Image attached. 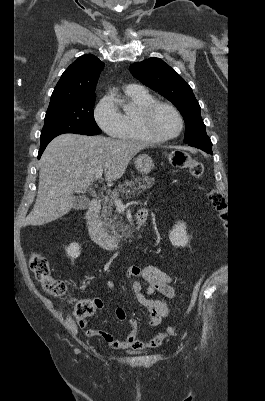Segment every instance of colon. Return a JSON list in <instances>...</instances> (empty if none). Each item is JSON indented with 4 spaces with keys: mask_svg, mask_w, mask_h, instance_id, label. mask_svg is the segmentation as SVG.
Instances as JSON below:
<instances>
[{
    "mask_svg": "<svg viewBox=\"0 0 265 401\" xmlns=\"http://www.w3.org/2000/svg\"><path fill=\"white\" fill-rule=\"evenodd\" d=\"M168 159L175 168L188 169L194 178H200L203 174V165L192 159L191 156L184 151H173L168 154ZM208 197L218 214L222 218H226L229 209L224 195L218 190L213 189L210 191ZM30 267L46 293L54 297H63L65 295L67 289L65 282L52 275L48 260L43 255L34 253L30 261ZM202 281L203 277H201L193 287L187 314H190L195 307ZM100 304V300L98 299H81L75 303L73 314L78 321L83 322L93 315L96 309L100 307ZM174 332V327H168L166 329L167 335H171Z\"/></svg>",
    "mask_w": 265,
    "mask_h": 401,
    "instance_id": "1",
    "label": "colon"
}]
</instances>
